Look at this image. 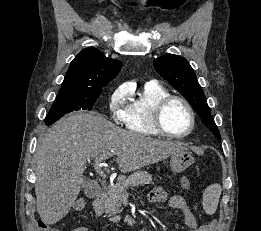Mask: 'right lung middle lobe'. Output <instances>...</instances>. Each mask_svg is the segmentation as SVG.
I'll use <instances>...</instances> for the list:
<instances>
[{
  "instance_id": "obj_1",
  "label": "right lung middle lobe",
  "mask_w": 261,
  "mask_h": 231,
  "mask_svg": "<svg viewBox=\"0 0 261 231\" xmlns=\"http://www.w3.org/2000/svg\"><path fill=\"white\" fill-rule=\"evenodd\" d=\"M100 94L101 91H60L45 118V124L50 126L72 111H91Z\"/></svg>"
}]
</instances>
